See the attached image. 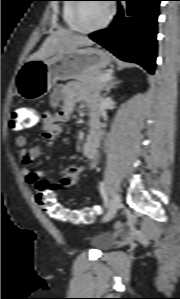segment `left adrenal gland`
Listing matches in <instances>:
<instances>
[{"label": "left adrenal gland", "instance_id": "left-adrenal-gland-1", "mask_svg": "<svg viewBox=\"0 0 180 299\" xmlns=\"http://www.w3.org/2000/svg\"><path fill=\"white\" fill-rule=\"evenodd\" d=\"M121 83V81H117L115 77H113L108 85L106 86V91H107V94L110 93L111 89L112 88H115L117 84Z\"/></svg>", "mask_w": 180, "mask_h": 299}]
</instances>
